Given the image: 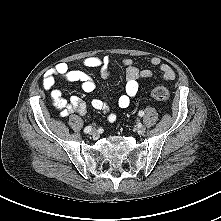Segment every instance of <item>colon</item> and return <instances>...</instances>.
Returning <instances> with one entry per match:
<instances>
[{
  "mask_svg": "<svg viewBox=\"0 0 221 221\" xmlns=\"http://www.w3.org/2000/svg\"><path fill=\"white\" fill-rule=\"evenodd\" d=\"M151 97L157 101L164 102L169 98V91L164 86H156L154 87L151 92Z\"/></svg>",
  "mask_w": 221,
  "mask_h": 221,
  "instance_id": "obj_1",
  "label": "colon"
}]
</instances>
